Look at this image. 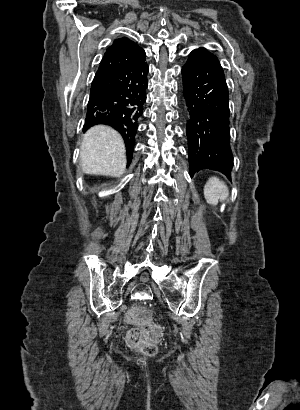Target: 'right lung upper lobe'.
<instances>
[{"instance_id": "1", "label": "right lung upper lobe", "mask_w": 300, "mask_h": 410, "mask_svg": "<svg viewBox=\"0 0 300 410\" xmlns=\"http://www.w3.org/2000/svg\"><path fill=\"white\" fill-rule=\"evenodd\" d=\"M143 60H145V52L142 48L126 37L118 38L107 49L97 73Z\"/></svg>"}]
</instances>
